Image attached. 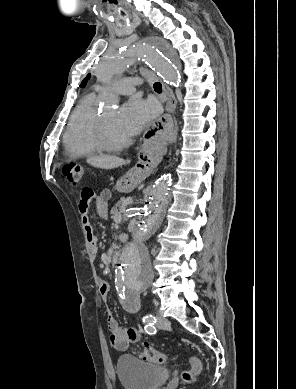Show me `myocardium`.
Listing matches in <instances>:
<instances>
[{"label":"myocardium","mask_w":296,"mask_h":389,"mask_svg":"<svg viewBox=\"0 0 296 389\" xmlns=\"http://www.w3.org/2000/svg\"><path fill=\"white\" fill-rule=\"evenodd\" d=\"M95 136L98 146L102 151H118L125 148L130 143V139L127 138L120 142H111L106 134L105 124L102 116H98L95 127Z\"/></svg>","instance_id":"myocardium-1"}]
</instances>
